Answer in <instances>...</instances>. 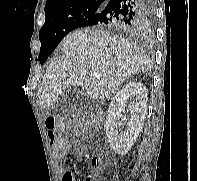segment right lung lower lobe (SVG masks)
Returning <instances> with one entry per match:
<instances>
[{
	"instance_id": "98d812e1",
	"label": "right lung lower lobe",
	"mask_w": 197,
	"mask_h": 181,
	"mask_svg": "<svg viewBox=\"0 0 197 181\" xmlns=\"http://www.w3.org/2000/svg\"><path fill=\"white\" fill-rule=\"evenodd\" d=\"M154 16V0H109L82 27L102 25L128 32L141 31Z\"/></svg>"
}]
</instances>
